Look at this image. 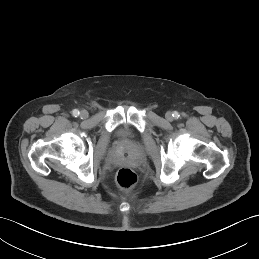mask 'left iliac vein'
Listing matches in <instances>:
<instances>
[{"label":"left iliac vein","mask_w":259,"mask_h":259,"mask_svg":"<svg viewBox=\"0 0 259 259\" xmlns=\"http://www.w3.org/2000/svg\"><path fill=\"white\" fill-rule=\"evenodd\" d=\"M165 117H166V119L168 120V121H172L173 120V113L172 112H167L166 114H165Z\"/></svg>","instance_id":"4c4485c4"}]
</instances>
